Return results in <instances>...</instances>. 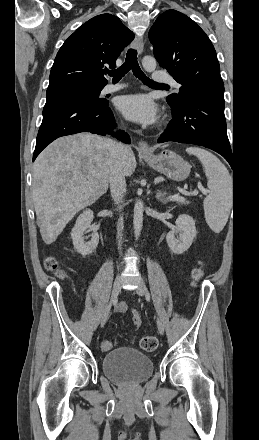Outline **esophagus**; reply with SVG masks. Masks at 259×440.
I'll use <instances>...</instances> for the list:
<instances>
[{"label": "esophagus", "instance_id": "1", "mask_svg": "<svg viewBox=\"0 0 259 440\" xmlns=\"http://www.w3.org/2000/svg\"><path fill=\"white\" fill-rule=\"evenodd\" d=\"M133 48L136 49L138 51V54H142L143 48H144V42L142 38L136 37L133 41L132 44ZM138 147H139V151L140 153L144 154V155H150L152 154V150L150 148V146L148 145L147 142L143 141V140H139L138 141Z\"/></svg>", "mask_w": 259, "mask_h": 440}]
</instances>
